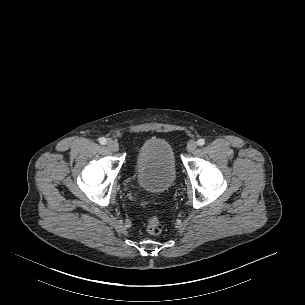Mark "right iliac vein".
<instances>
[{
    "label": "right iliac vein",
    "instance_id": "right-iliac-vein-1",
    "mask_svg": "<svg viewBox=\"0 0 305 305\" xmlns=\"http://www.w3.org/2000/svg\"><path fill=\"white\" fill-rule=\"evenodd\" d=\"M107 147L113 152H116L119 149L117 142H115L114 140H109L107 142Z\"/></svg>",
    "mask_w": 305,
    "mask_h": 305
}]
</instances>
